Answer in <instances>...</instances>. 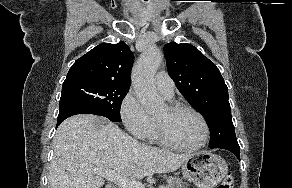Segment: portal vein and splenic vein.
<instances>
[{"label": "portal vein and splenic vein", "instance_id": "1", "mask_svg": "<svg viewBox=\"0 0 292 188\" xmlns=\"http://www.w3.org/2000/svg\"><path fill=\"white\" fill-rule=\"evenodd\" d=\"M92 171L95 174L105 177L109 181L113 182L119 188H145V185L141 182L130 180L127 177L117 174L113 170L93 169ZM158 188H164V186H159Z\"/></svg>", "mask_w": 292, "mask_h": 188}]
</instances>
